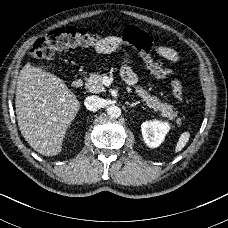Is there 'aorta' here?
<instances>
[{"instance_id": "aorta-1", "label": "aorta", "mask_w": 228, "mask_h": 228, "mask_svg": "<svg viewBox=\"0 0 228 228\" xmlns=\"http://www.w3.org/2000/svg\"><path fill=\"white\" fill-rule=\"evenodd\" d=\"M107 114L111 118H118L121 115V108L115 105H111L107 108Z\"/></svg>"}]
</instances>
